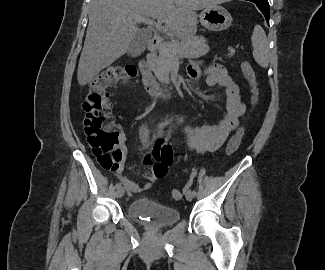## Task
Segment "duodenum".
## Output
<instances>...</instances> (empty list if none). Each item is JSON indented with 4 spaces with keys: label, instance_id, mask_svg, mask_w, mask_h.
Instances as JSON below:
<instances>
[{
    "label": "duodenum",
    "instance_id": "1",
    "mask_svg": "<svg viewBox=\"0 0 325 270\" xmlns=\"http://www.w3.org/2000/svg\"><path fill=\"white\" fill-rule=\"evenodd\" d=\"M163 43V38L156 34L152 37L149 45H148V51L146 57L140 62V71L142 74V81L143 84L146 88V90L157 96H169L171 93L165 94L162 90H160L154 80L152 71H151V66L155 62L156 59V52L160 48V46Z\"/></svg>",
    "mask_w": 325,
    "mask_h": 270
}]
</instances>
